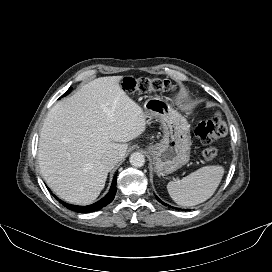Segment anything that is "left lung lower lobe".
I'll use <instances>...</instances> for the list:
<instances>
[{
	"mask_svg": "<svg viewBox=\"0 0 272 272\" xmlns=\"http://www.w3.org/2000/svg\"><path fill=\"white\" fill-rule=\"evenodd\" d=\"M155 197H156V199H157L158 201H160L163 205L168 206V207H171L170 205H168V204L162 202L157 196H155Z\"/></svg>",
	"mask_w": 272,
	"mask_h": 272,
	"instance_id": "1",
	"label": "left lung lower lobe"
}]
</instances>
